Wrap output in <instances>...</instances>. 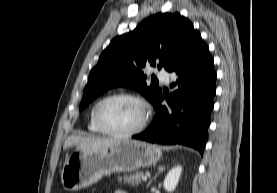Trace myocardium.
<instances>
[{"label":"myocardium","mask_w":277,"mask_h":193,"mask_svg":"<svg viewBox=\"0 0 277 193\" xmlns=\"http://www.w3.org/2000/svg\"><path fill=\"white\" fill-rule=\"evenodd\" d=\"M117 99L133 100V101H136L137 103H139L143 107V116H142L141 122L135 128L128 130V131L117 132V131L109 130L102 123V121L100 119L101 107L105 103L112 101V100H117ZM149 117H150V106H149L148 102L141 96L133 94V93H116V94L109 95V96L104 97L101 100H99L95 104L94 109H93V121H94L96 127L100 130V132L103 134L112 136V137H117V138H127V137H131L133 135L140 133L141 131H143L146 128L148 121H149Z\"/></svg>","instance_id":"f54148a6"}]
</instances>
